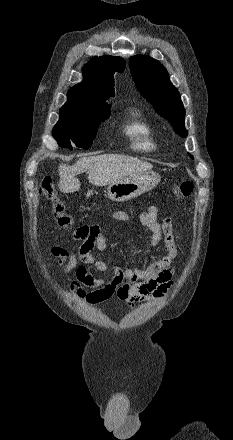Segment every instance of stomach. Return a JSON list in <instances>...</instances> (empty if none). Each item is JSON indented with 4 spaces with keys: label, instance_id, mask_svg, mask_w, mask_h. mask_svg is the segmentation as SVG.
I'll use <instances>...</instances> for the list:
<instances>
[{
    "label": "stomach",
    "instance_id": "stomach-1",
    "mask_svg": "<svg viewBox=\"0 0 233 440\" xmlns=\"http://www.w3.org/2000/svg\"><path fill=\"white\" fill-rule=\"evenodd\" d=\"M160 176L153 171L135 173L109 185L107 197L115 202L134 199L156 187Z\"/></svg>",
    "mask_w": 233,
    "mask_h": 440
}]
</instances>
